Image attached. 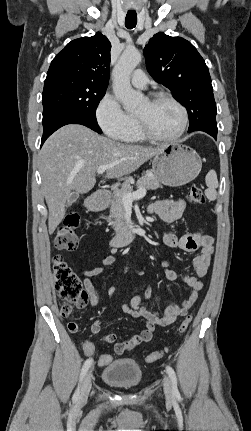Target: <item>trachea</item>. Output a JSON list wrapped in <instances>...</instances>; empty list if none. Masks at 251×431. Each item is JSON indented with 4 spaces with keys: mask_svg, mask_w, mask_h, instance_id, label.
<instances>
[{
    "mask_svg": "<svg viewBox=\"0 0 251 431\" xmlns=\"http://www.w3.org/2000/svg\"><path fill=\"white\" fill-rule=\"evenodd\" d=\"M137 24V14L136 13H127L125 18V26L128 29H132Z\"/></svg>",
    "mask_w": 251,
    "mask_h": 431,
    "instance_id": "3493384b",
    "label": "trachea"
}]
</instances>
